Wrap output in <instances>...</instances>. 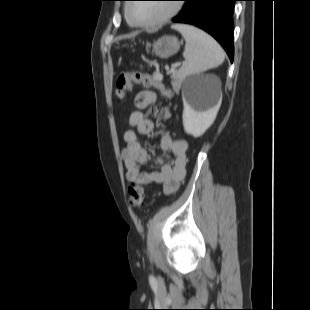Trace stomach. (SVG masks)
<instances>
[{"label": "stomach", "mask_w": 310, "mask_h": 310, "mask_svg": "<svg viewBox=\"0 0 310 310\" xmlns=\"http://www.w3.org/2000/svg\"><path fill=\"white\" fill-rule=\"evenodd\" d=\"M180 48V42L176 37H162L153 44L154 53L161 57L167 58L175 54Z\"/></svg>", "instance_id": "stomach-1"}]
</instances>
